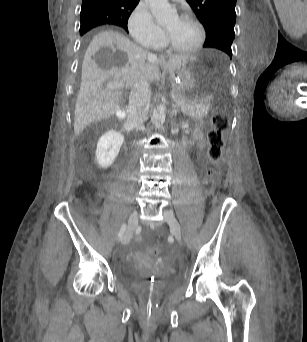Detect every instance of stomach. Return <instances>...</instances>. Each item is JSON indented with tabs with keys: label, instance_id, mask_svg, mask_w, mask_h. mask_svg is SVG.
I'll return each instance as SVG.
<instances>
[{
	"label": "stomach",
	"instance_id": "stomach-1",
	"mask_svg": "<svg viewBox=\"0 0 307 342\" xmlns=\"http://www.w3.org/2000/svg\"><path fill=\"white\" fill-rule=\"evenodd\" d=\"M187 63L175 70L169 71V78L175 94H178L189 101H193L197 98L195 84L199 61L190 59Z\"/></svg>",
	"mask_w": 307,
	"mask_h": 342
}]
</instances>
